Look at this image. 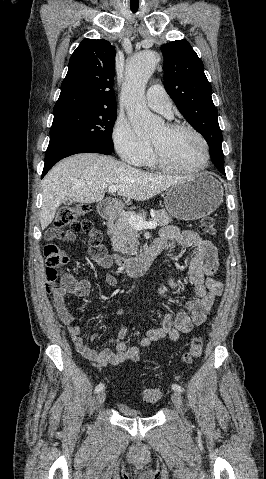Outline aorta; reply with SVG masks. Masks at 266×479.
Segmentation results:
<instances>
[{"instance_id": "762f6f07", "label": "aorta", "mask_w": 266, "mask_h": 479, "mask_svg": "<svg viewBox=\"0 0 266 479\" xmlns=\"http://www.w3.org/2000/svg\"><path fill=\"white\" fill-rule=\"evenodd\" d=\"M156 63V53L145 50L132 56L126 65L121 99L126 107L128 119L139 136L151 135L162 123L148 110L144 101L145 86Z\"/></svg>"}]
</instances>
